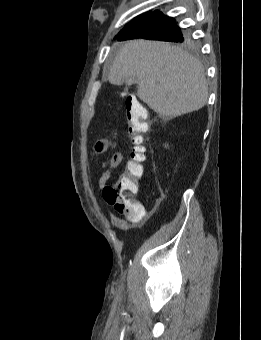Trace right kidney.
<instances>
[{"label": "right kidney", "instance_id": "right-kidney-1", "mask_svg": "<svg viewBox=\"0 0 261 340\" xmlns=\"http://www.w3.org/2000/svg\"><path fill=\"white\" fill-rule=\"evenodd\" d=\"M165 148H169V145H168V144H165Z\"/></svg>", "mask_w": 261, "mask_h": 340}]
</instances>
